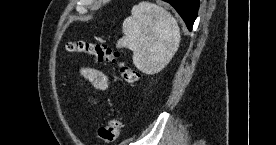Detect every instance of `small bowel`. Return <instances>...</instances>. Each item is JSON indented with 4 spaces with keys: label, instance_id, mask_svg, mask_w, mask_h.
Masks as SVG:
<instances>
[{
    "label": "small bowel",
    "instance_id": "c3829d8e",
    "mask_svg": "<svg viewBox=\"0 0 276 145\" xmlns=\"http://www.w3.org/2000/svg\"><path fill=\"white\" fill-rule=\"evenodd\" d=\"M81 75L97 89L106 90L108 88L106 75L97 69L85 67L82 69Z\"/></svg>",
    "mask_w": 276,
    "mask_h": 145
}]
</instances>
